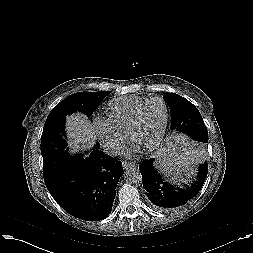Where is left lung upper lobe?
Returning a JSON list of instances; mask_svg holds the SVG:
<instances>
[{"instance_id": "obj_1", "label": "left lung upper lobe", "mask_w": 253, "mask_h": 253, "mask_svg": "<svg viewBox=\"0 0 253 253\" xmlns=\"http://www.w3.org/2000/svg\"><path fill=\"white\" fill-rule=\"evenodd\" d=\"M164 99L170 108L172 130L188 135L194 143H199L203 152L208 142V131L198 109L175 93H167Z\"/></svg>"}]
</instances>
